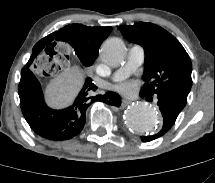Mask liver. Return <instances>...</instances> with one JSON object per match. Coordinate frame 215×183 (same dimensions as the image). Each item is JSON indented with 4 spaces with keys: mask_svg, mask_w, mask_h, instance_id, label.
<instances>
[{
    "mask_svg": "<svg viewBox=\"0 0 215 183\" xmlns=\"http://www.w3.org/2000/svg\"><path fill=\"white\" fill-rule=\"evenodd\" d=\"M84 82V74L78 67L63 69L48 84L45 94L49 105L62 108L69 105L80 91Z\"/></svg>",
    "mask_w": 215,
    "mask_h": 183,
    "instance_id": "1",
    "label": "liver"
}]
</instances>
